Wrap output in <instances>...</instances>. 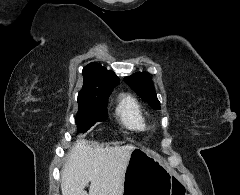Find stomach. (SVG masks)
I'll use <instances>...</instances> for the list:
<instances>
[{
    "label": "stomach",
    "mask_w": 240,
    "mask_h": 195,
    "mask_svg": "<svg viewBox=\"0 0 240 195\" xmlns=\"http://www.w3.org/2000/svg\"><path fill=\"white\" fill-rule=\"evenodd\" d=\"M171 173L159 155L134 147L125 171L123 195H170Z\"/></svg>",
    "instance_id": "0dacf381"
}]
</instances>
